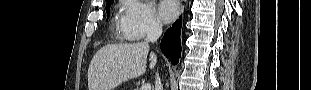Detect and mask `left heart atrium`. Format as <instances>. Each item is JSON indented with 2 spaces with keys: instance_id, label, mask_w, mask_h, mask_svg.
Segmentation results:
<instances>
[{
  "instance_id": "1",
  "label": "left heart atrium",
  "mask_w": 311,
  "mask_h": 90,
  "mask_svg": "<svg viewBox=\"0 0 311 90\" xmlns=\"http://www.w3.org/2000/svg\"><path fill=\"white\" fill-rule=\"evenodd\" d=\"M179 13V4L175 0H163L159 3L158 14L162 22H172Z\"/></svg>"
}]
</instances>
